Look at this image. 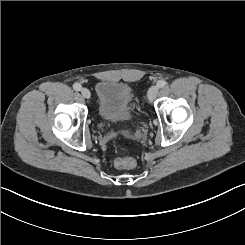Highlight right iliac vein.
<instances>
[{"label":"right iliac vein","instance_id":"1","mask_svg":"<svg viewBox=\"0 0 245 245\" xmlns=\"http://www.w3.org/2000/svg\"><path fill=\"white\" fill-rule=\"evenodd\" d=\"M81 94L84 98H90L91 94H90V91L87 89V88H83L81 90Z\"/></svg>","mask_w":245,"mask_h":245}]
</instances>
